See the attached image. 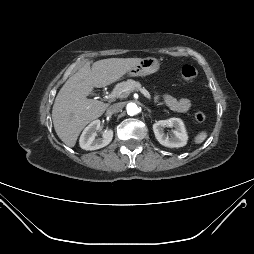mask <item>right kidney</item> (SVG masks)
<instances>
[{
    "label": "right kidney",
    "instance_id": "obj_1",
    "mask_svg": "<svg viewBox=\"0 0 254 254\" xmlns=\"http://www.w3.org/2000/svg\"><path fill=\"white\" fill-rule=\"evenodd\" d=\"M100 128V120L91 122L82 132L79 144L84 150H97L107 146L113 138V130H106L101 138H96V131Z\"/></svg>",
    "mask_w": 254,
    "mask_h": 254
}]
</instances>
